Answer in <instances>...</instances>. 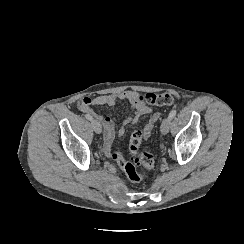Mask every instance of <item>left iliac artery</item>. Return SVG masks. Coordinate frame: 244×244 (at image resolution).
Masks as SVG:
<instances>
[{
  "instance_id": "44dca946",
  "label": "left iliac artery",
  "mask_w": 244,
  "mask_h": 244,
  "mask_svg": "<svg viewBox=\"0 0 244 244\" xmlns=\"http://www.w3.org/2000/svg\"><path fill=\"white\" fill-rule=\"evenodd\" d=\"M176 114H177V110L174 109L169 113L168 117L172 120L176 116Z\"/></svg>"
}]
</instances>
